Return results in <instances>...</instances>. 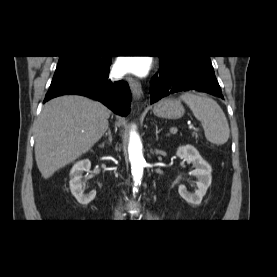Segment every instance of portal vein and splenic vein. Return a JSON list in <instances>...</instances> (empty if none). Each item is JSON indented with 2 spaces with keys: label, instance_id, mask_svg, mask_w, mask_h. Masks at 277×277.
Wrapping results in <instances>:
<instances>
[{
  "label": "portal vein and splenic vein",
  "instance_id": "obj_1",
  "mask_svg": "<svg viewBox=\"0 0 277 277\" xmlns=\"http://www.w3.org/2000/svg\"><path fill=\"white\" fill-rule=\"evenodd\" d=\"M189 128L191 129V128H193V126H192V125H189ZM170 132H171V133H176V132H177V129H176V128H171V129H170Z\"/></svg>",
  "mask_w": 277,
  "mask_h": 277
}]
</instances>
